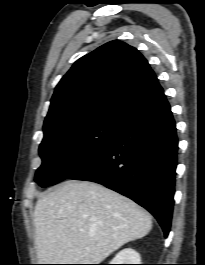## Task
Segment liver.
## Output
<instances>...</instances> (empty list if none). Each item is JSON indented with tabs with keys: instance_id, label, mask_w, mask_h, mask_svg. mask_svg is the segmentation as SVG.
I'll return each instance as SVG.
<instances>
[{
	"instance_id": "6515ba94",
	"label": "liver",
	"mask_w": 205,
	"mask_h": 265,
	"mask_svg": "<svg viewBox=\"0 0 205 265\" xmlns=\"http://www.w3.org/2000/svg\"><path fill=\"white\" fill-rule=\"evenodd\" d=\"M34 225L40 264H99L125 243L146 236L152 220L115 191L69 180L37 201Z\"/></svg>"
}]
</instances>
